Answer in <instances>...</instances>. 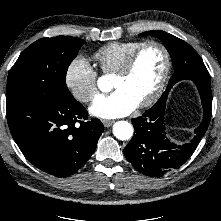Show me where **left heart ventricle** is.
Returning <instances> with one entry per match:
<instances>
[{
  "label": "left heart ventricle",
  "mask_w": 221,
  "mask_h": 221,
  "mask_svg": "<svg viewBox=\"0 0 221 221\" xmlns=\"http://www.w3.org/2000/svg\"><path fill=\"white\" fill-rule=\"evenodd\" d=\"M164 68L162 51L155 46L145 49L128 76H114L112 86L126 92L137 104L146 100L157 87Z\"/></svg>",
  "instance_id": "1"
}]
</instances>
